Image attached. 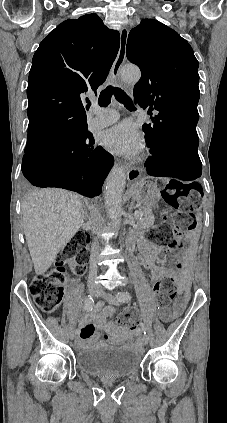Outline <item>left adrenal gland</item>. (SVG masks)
<instances>
[{
	"mask_svg": "<svg viewBox=\"0 0 227 423\" xmlns=\"http://www.w3.org/2000/svg\"><path fill=\"white\" fill-rule=\"evenodd\" d=\"M129 210H130V211L132 210V206H130Z\"/></svg>",
	"mask_w": 227,
	"mask_h": 423,
	"instance_id": "left-adrenal-gland-1",
	"label": "left adrenal gland"
}]
</instances>
